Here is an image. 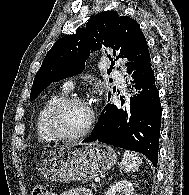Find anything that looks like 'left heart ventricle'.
Masks as SVG:
<instances>
[{
  "instance_id": "1",
  "label": "left heart ventricle",
  "mask_w": 189,
  "mask_h": 195,
  "mask_svg": "<svg viewBox=\"0 0 189 195\" xmlns=\"http://www.w3.org/2000/svg\"><path fill=\"white\" fill-rule=\"evenodd\" d=\"M89 117L90 112L86 106L73 104L61 112L58 118V127L63 133L74 135L86 127Z\"/></svg>"
}]
</instances>
